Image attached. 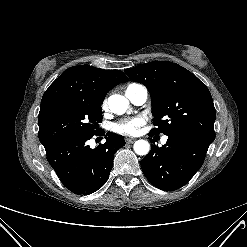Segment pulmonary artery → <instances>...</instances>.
Masks as SVG:
<instances>
[{
	"mask_svg": "<svg viewBox=\"0 0 247 247\" xmlns=\"http://www.w3.org/2000/svg\"><path fill=\"white\" fill-rule=\"evenodd\" d=\"M127 98L136 105H141L146 102L148 97V91L145 86L141 84H131L126 89ZM167 137L162 138V142L165 143Z\"/></svg>",
	"mask_w": 247,
	"mask_h": 247,
	"instance_id": "1",
	"label": "pulmonary artery"
}]
</instances>
